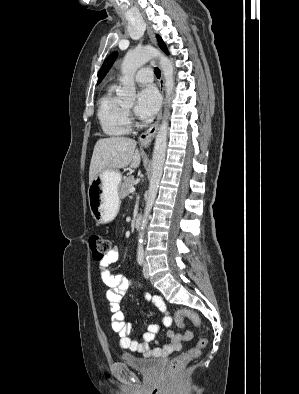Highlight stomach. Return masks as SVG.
Listing matches in <instances>:
<instances>
[{
	"label": "stomach",
	"instance_id": "0dacf381",
	"mask_svg": "<svg viewBox=\"0 0 299 394\" xmlns=\"http://www.w3.org/2000/svg\"><path fill=\"white\" fill-rule=\"evenodd\" d=\"M121 181L122 174L119 171H103L90 183L89 207L98 224L109 223L116 217L120 207Z\"/></svg>",
	"mask_w": 299,
	"mask_h": 394
}]
</instances>
